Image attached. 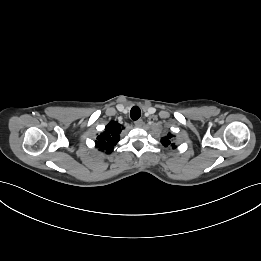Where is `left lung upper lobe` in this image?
Here are the masks:
<instances>
[{"mask_svg":"<svg viewBox=\"0 0 261 261\" xmlns=\"http://www.w3.org/2000/svg\"><path fill=\"white\" fill-rule=\"evenodd\" d=\"M171 138L172 135L168 134V136H165L161 139L162 145H164L165 147L167 146H173V148H175L174 144L171 143Z\"/></svg>","mask_w":261,"mask_h":261,"instance_id":"5c2ea615","label":"left lung upper lobe"}]
</instances>
